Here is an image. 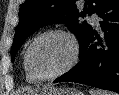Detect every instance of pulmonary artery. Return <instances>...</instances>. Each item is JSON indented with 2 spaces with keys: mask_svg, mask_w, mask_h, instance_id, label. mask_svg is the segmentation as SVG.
<instances>
[{
  "mask_svg": "<svg viewBox=\"0 0 119 95\" xmlns=\"http://www.w3.org/2000/svg\"><path fill=\"white\" fill-rule=\"evenodd\" d=\"M90 21H91L94 25L98 26V25H99V17H98V15H97L96 13H93V14L91 15V17H90Z\"/></svg>",
  "mask_w": 119,
  "mask_h": 95,
  "instance_id": "1",
  "label": "pulmonary artery"
}]
</instances>
